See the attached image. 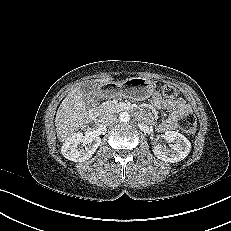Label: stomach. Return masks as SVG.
<instances>
[{
	"label": "stomach",
	"mask_w": 231,
	"mask_h": 231,
	"mask_svg": "<svg viewBox=\"0 0 231 231\" xmlns=\"http://www.w3.org/2000/svg\"><path fill=\"white\" fill-rule=\"evenodd\" d=\"M155 91L153 81L142 77H131L109 86L107 97H125L136 101L149 98Z\"/></svg>",
	"instance_id": "obj_1"
}]
</instances>
